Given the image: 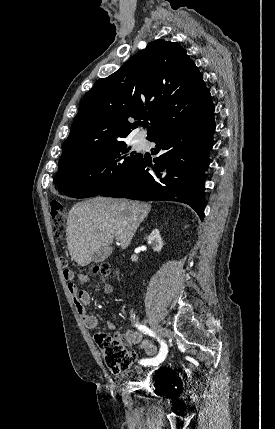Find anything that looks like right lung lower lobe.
I'll return each instance as SVG.
<instances>
[{
	"label": "right lung lower lobe",
	"mask_w": 275,
	"mask_h": 429,
	"mask_svg": "<svg viewBox=\"0 0 275 429\" xmlns=\"http://www.w3.org/2000/svg\"><path fill=\"white\" fill-rule=\"evenodd\" d=\"M214 108L204 116L162 129L148 140L156 143L154 165L143 157L119 182L102 192L105 197L144 201H178L190 205L203 220L204 171L215 131ZM151 166L152 169H145Z\"/></svg>",
	"instance_id": "98d812e1"
}]
</instances>
